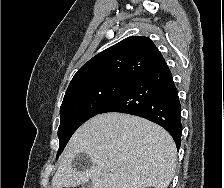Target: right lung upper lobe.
Instances as JSON below:
<instances>
[{
  "mask_svg": "<svg viewBox=\"0 0 224 188\" xmlns=\"http://www.w3.org/2000/svg\"><path fill=\"white\" fill-rule=\"evenodd\" d=\"M162 61L164 58L151 39L128 37L85 63L74 75L69 87L103 78L135 79Z\"/></svg>",
  "mask_w": 224,
  "mask_h": 188,
  "instance_id": "obj_1",
  "label": "right lung upper lobe"
}]
</instances>
